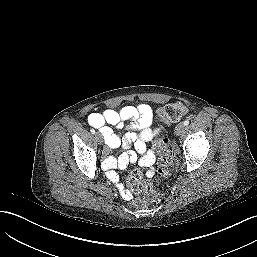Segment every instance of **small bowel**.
Returning <instances> with one entry per match:
<instances>
[{
	"label": "small bowel",
	"mask_w": 257,
	"mask_h": 257,
	"mask_svg": "<svg viewBox=\"0 0 257 257\" xmlns=\"http://www.w3.org/2000/svg\"><path fill=\"white\" fill-rule=\"evenodd\" d=\"M154 120L151 107L143 103L127 105L119 110L109 108L102 113L93 112L88 115L89 125L100 131L109 148H117L120 145L128 148L134 145L135 150H126L118 156H109L103 162V169L126 200H131L132 195L120 183L119 176L113 169H125L128 164L138 162L140 166L147 168L148 176L153 175L156 156L152 150L147 149L146 143L162 130V127L152 128ZM110 125L122 129V134H115Z\"/></svg>",
	"instance_id": "c3829d8e"
}]
</instances>
